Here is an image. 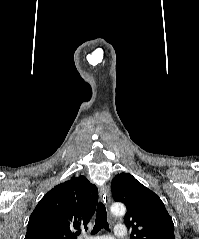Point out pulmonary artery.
I'll return each instance as SVG.
<instances>
[{"label": "pulmonary artery", "instance_id": "pulmonary-artery-1", "mask_svg": "<svg viewBox=\"0 0 199 239\" xmlns=\"http://www.w3.org/2000/svg\"><path fill=\"white\" fill-rule=\"evenodd\" d=\"M114 233L115 237L118 239H124L127 235L126 228L122 224H117L114 226ZM115 237L106 235V236L89 237L88 239H114Z\"/></svg>", "mask_w": 199, "mask_h": 239}]
</instances>
